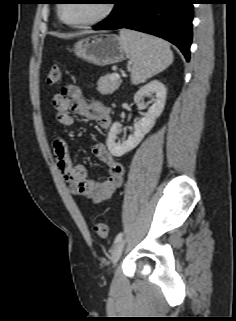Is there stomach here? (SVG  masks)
<instances>
[{
  "instance_id": "obj_1",
  "label": "stomach",
  "mask_w": 236,
  "mask_h": 321,
  "mask_svg": "<svg viewBox=\"0 0 236 321\" xmlns=\"http://www.w3.org/2000/svg\"><path fill=\"white\" fill-rule=\"evenodd\" d=\"M75 55L97 66H106L123 61L126 52L115 34L99 33L80 39L75 43Z\"/></svg>"
}]
</instances>
